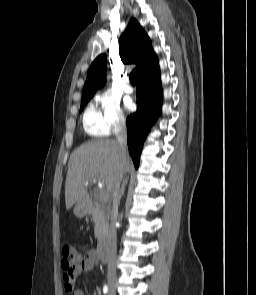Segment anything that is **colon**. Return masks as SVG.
I'll use <instances>...</instances> for the list:
<instances>
[{"label": "colon", "instance_id": "1", "mask_svg": "<svg viewBox=\"0 0 256 295\" xmlns=\"http://www.w3.org/2000/svg\"><path fill=\"white\" fill-rule=\"evenodd\" d=\"M61 254V265L66 271H72L82 259L81 255L71 245H64Z\"/></svg>", "mask_w": 256, "mask_h": 295}]
</instances>
